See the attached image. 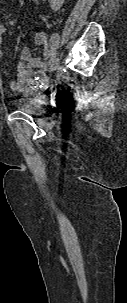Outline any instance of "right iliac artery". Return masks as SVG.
<instances>
[{"mask_svg":"<svg viewBox=\"0 0 127 303\" xmlns=\"http://www.w3.org/2000/svg\"><path fill=\"white\" fill-rule=\"evenodd\" d=\"M57 55V52L55 50V48H51V51H50V63L54 60V58L56 57Z\"/></svg>","mask_w":127,"mask_h":303,"instance_id":"obj_1","label":"right iliac artery"}]
</instances>
